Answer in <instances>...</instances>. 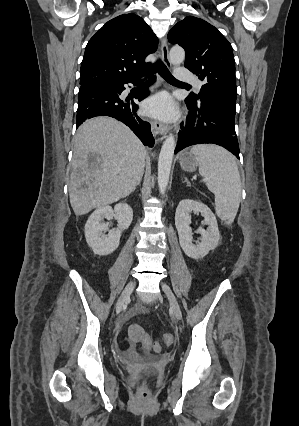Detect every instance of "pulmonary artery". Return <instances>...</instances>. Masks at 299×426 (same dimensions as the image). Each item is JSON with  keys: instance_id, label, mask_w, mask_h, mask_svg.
Wrapping results in <instances>:
<instances>
[{"instance_id": "pulmonary-artery-1", "label": "pulmonary artery", "mask_w": 299, "mask_h": 426, "mask_svg": "<svg viewBox=\"0 0 299 426\" xmlns=\"http://www.w3.org/2000/svg\"><path fill=\"white\" fill-rule=\"evenodd\" d=\"M175 76L178 80L192 82L197 90H200L201 83L199 80L189 75L185 68L178 67L175 70Z\"/></svg>"}]
</instances>
